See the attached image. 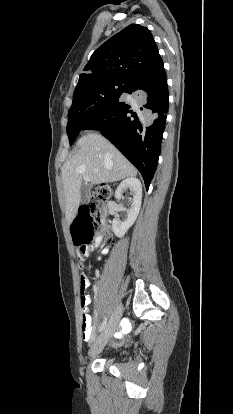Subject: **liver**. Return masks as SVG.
<instances>
[{
	"instance_id": "1",
	"label": "liver",
	"mask_w": 233,
	"mask_h": 414,
	"mask_svg": "<svg viewBox=\"0 0 233 414\" xmlns=\"http://www.w3.org/2000/svg\"><path fill=\"white\" fill-rule=\"evenodd\" d=\"M77 153L61 169L68 223L76 217L81 200V186L111 183L137 175L136 168L98 133H88L77 141Z\"/></svg>"
}]
</instances>
